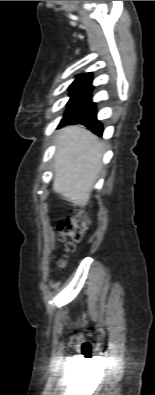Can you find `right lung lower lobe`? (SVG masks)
<instances>
[{
  "mask_svg": "<svg viewBox=\"0 0 155 395\" xmlns=\"http://www.w3.org/2000/svg\"><path fill=\"white\" fill-rule=\"evenodd\" d=\"M78 123L85 125L95 134L102 136L103 127L102 124L96 119V111L93 103L77 115L62 120L59 126Z\"/></svg>",
  "mask_w": 155,
  "mask_h": 395,
  "instance_id": "right-lung-lower-lobe-1",
  "label": "right lung lower lobe"
}]
</instances>
